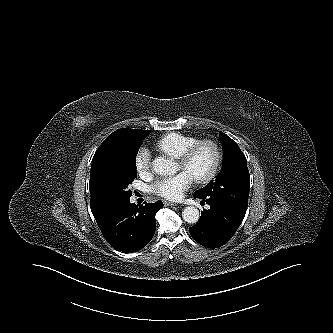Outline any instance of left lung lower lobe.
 <instances>
[{
    "instance_id": "0a47b994",
    "label": "left lung lower lobe",
    "mask_w": 333,
    "mask_h": 333,
    "mask_svg": "<svg viewBox=\"0 0 333 333\" xmlns=\"http://www.w3.org/2000/svg\"><path fill=\"white\" fill-rule=\"evenodd\" d=\"M202 199L210 205L209 210L201 212L199 221L189 228L192 238L208 248H218L226 244L242 223L247 207L228 202L216 196L194 198Z\"/></svg>"
}]
</instances>
